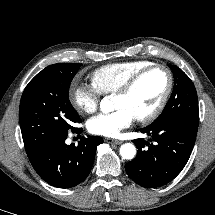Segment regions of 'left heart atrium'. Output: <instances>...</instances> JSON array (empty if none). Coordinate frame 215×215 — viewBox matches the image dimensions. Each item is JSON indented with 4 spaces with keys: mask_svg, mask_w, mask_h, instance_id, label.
Wrapping results in <instances>:
<instances>
[{
    "mask_svg": "<svg viewBox=\"0 0 215 215\" xmlns=\"http://www.w3.org/2000/svg\"><path fill=\"white\" fill-rule=\"evenodd\" d=\"M135 117L126 108L116 109L112 113L99 114L87 123L89 132L104 137H117L119 133L129 127Z\"/></svg>",
    "mask_w": 215,
    "mask_h": 215,
    "instance_id": "obj_1",
    "label": "left heart atrium"
}]
</instances>
